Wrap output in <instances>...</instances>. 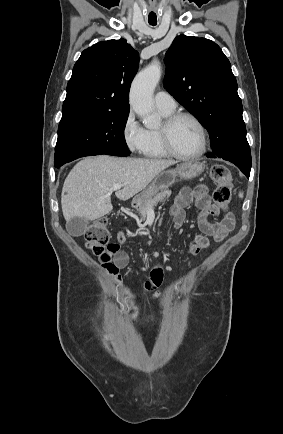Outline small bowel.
<instances>
[{
    "label": "small bowel",
    "mask_w": 283,
    "mask_h": 434,
    "mask_svg": "<svg viewBox=\"0 0 283 434\" xmlns=\"http://www.w3.org/2000/svg\"><path fill=\"white\" fill-rule=\"evenodd\" d=\"M193 200L201 210L198 218L200 233L194 235L188 245V249L193 256H197L210 247L209 237L213 238L216 242L223 241L234 228L235 221L233 215L230 213L221 216L219 208L211 204L208 188L205 185H199L195 188L185 187L177 195L170 210L176 228H180L183 225L185 221V208ZM209 216H221V220L219 222H211L208 219ZM125 241L126 234L124 232L118 233L116 242L109 244L107 251L99 257L102 268L107 274L115 278L117 284L120 282L118 277L119 272L129 262L128 255L121 249ZM162 278V267L156 266L151 272L150 281L145 285V290L156 293ZM131 308L132 316L136 313V306L131 303Z\"/></svg>",
    "instance_id": "small-bowel-1"
}]
</instances>
